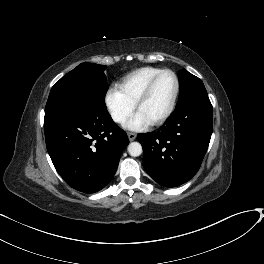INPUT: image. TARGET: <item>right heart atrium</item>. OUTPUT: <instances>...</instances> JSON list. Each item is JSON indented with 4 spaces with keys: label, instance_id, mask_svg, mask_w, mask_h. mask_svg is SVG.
<instances>
[{
    "label": "right heart atrium",
    "instance_id": "right-heart-atrium-1",
    "mask_svg": "<svg viewBox=\"0 0 264 264\" xmlns=\"http://www.w3.org/2000/svg\"><path fill=\"white\" fill-rule=\"evenodd\" d=\"M105 103L112 119L118 124L124 123L135 109V104L117 87L108 90Z\"/></svg>",
    "mask_w": 264,
    "mask_h": 264
}]
</instances>
